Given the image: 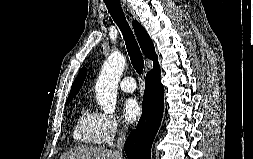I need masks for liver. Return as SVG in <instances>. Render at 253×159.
Masks as SVG:
<instances>
[{
	"label": "liver",
	"mask_w": 253,
	"mask_h": 159,
	"mask_svg": "<svg viewBox=\"0 0 253 159\" xmlns=\"http://www.w3.org/2000/svg\"><path fill=\"white\" fill-rule=\"evenodd\" d=\"M60 159H122V155L109 149L79 146L65 152Z\"/></svg>",
	"instance_id": "1"
}]
</instances>
